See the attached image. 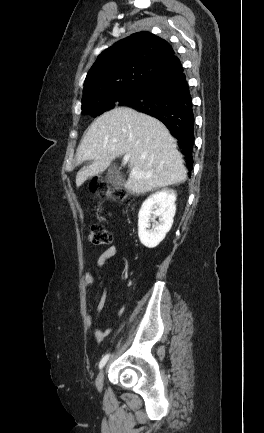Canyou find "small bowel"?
<instances>
[{"instance_id": "small-bowel-1", "label": "small bowel", "mask_w": 264, "mask_h": 433, "mask_svg": "<svg viewBox=\"0 0 264 433\" xmlns=\"http://www.w3.org/2000/svg\"><path fill=\"white\" fill-rule=\"evenodd\" d=\"M117 253V249L115 246H110L109 248H107L105 251H103L100 256L97 259V264L99 266H104L105 263L112 257H114ZM94 279H93V275L90 272H86L84 274V283L85 285H91L93 283ZM105 301H106V294L104 291L101 292L100 297H99V301H98V306H97V310L98 312L102 311L104 306H105ZM123 313V308H121L118 311V314L121 315ZM86 322L88 324V326L93 325L94 323V319L91 315H88L86 318ZM112 330L110 328H105V329H100V328H96L95 332H94V336H95V340L100 343L102 342L107 336H109L111 334Z\"/></svg>"}]
</instances>
